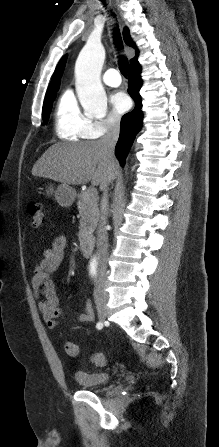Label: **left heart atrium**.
Instances as JSON below:
<instances>
[{"label": "left heart atrium", "instance_id": "left-heart-atrium-1", "mask_svg": "<svg viewBox=\"0 0 219 447\" xmlns=\"http://www.w3.org/2000/svg\"><path fill=\"white\" fill-rule=\"evenodd\" d=\"M111 103L114 109L119 113H125L131 106L130 98L122 91H118L112 95Z\"/></svg>", "mask_w": 219, "mask_h": 447}]
</instances>
